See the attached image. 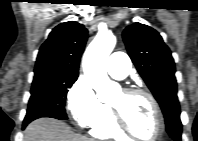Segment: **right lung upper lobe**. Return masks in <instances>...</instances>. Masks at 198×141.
I'll return each mask as SVG.
<instances>
[{
    "mask_svg": "<svg viewBox=\"0 0 198 141\" xmlns=\"http://www.w3.org/2000/svg\"><path fill=\"white\" fill-rule=\"evenodd\" d=\"M87 38V29L78 22L69 21L56 26L39 50L35 74L78 75Z\"/></svg>",
    "mask_w": 198,
    "mask_h": 141,
    "instance_id": "obj_1",
    "label": "right lung upper lobe"
}]
</instances>
